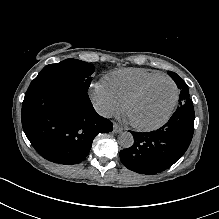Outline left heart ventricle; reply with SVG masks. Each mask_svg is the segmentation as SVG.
<instances>
[{"label":"left heart ventricle","instance_id":"1","mask_svg":"<svg viewBox=\"0 0 219 219\" xmlns=\"http://www.w3.org/2000/svg\"><path fill=\"white\" fill-rule=\"evenodd\" d=\"M173 97V85L166 80L160 81L132 105L130 116L137 123H155L162 118Z\"/></svg>","mask_w":219,"mask_h":219}]
</instances>
